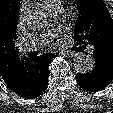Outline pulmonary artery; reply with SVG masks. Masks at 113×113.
Wrapping results in <instances>:
<instances>
[{"instance_id":"obj_1","label":"pulmonary artery","mask_w":113,"mask_h":113,"mask_svg":"<svg viewBox=\"0 0 113 113\" xmlns=\"http://www.w3.org/2000/svg\"><path fill=\"white\" fill-rule=\"evenodd\" d=\"M60 10V5H57L55 7H53L52 9H50L51 12H58ZM36 44L34 42H24L21 46H20V51L22 53H27V52H30V51H33L36 49Z\"/></svg>"}]
</instances>
